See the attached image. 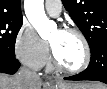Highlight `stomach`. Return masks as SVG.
<instances>
[{
  "label": "stomach",
  "instance_id": "0dacf381",
  "mask_svg": "<svg viewBox=\"0 0 107 89\" xmlns=\"http://www.w3.org/2000/svg\"><path fill=\"white\" fill-rule=\"evenodd\" d=\"M47 89H82L80 85H71V84H56L54 86H49Z\"/></svg>",
  "mask_w": 107,
  "mask_h": 89
}]
</instances>
